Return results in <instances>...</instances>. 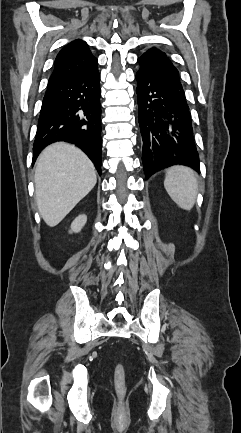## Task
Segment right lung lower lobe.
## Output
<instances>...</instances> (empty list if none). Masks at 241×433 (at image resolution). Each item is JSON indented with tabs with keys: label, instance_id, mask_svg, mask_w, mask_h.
<instances>
[{
	"label": "right lung lower lobe",
	"instance_id": "98d812e1",
	"mask_svg": "<svg viewBox=\"0 0 241 433\" xmlns=\"http://www.w3.org/2000/svg\"><path fill=\"white\" fill-rule=\"evenodd\" d=\"M100 74L97 65L48 84L33 147V162L47 145L70 142L81 148L101 174Z\"/></svg>",
	"mask_w": 241,
	"mask_h": 433
}]
</instances>
